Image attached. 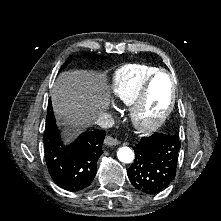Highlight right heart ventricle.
Here are the masks:
<instances>
[{"label":"right heart ventricle","mask_w":221,"mask_h":221,"mask_svg":"<svg viewBox=\"0 0 221 221\" xmlns=\"http://www.w3.org/2000/svg\"><path fill=\"white\" fill-rule=\"evenodd\" d=\"M158 68L144 64H128L114 73L112 92L116 99L124 105H131L140 89Z\"/></svg>","instance_id":"obj_1"}]
</instances>
